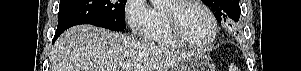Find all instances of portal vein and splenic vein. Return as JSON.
<instances>
[{
  "label": "portal vein and splenic vein",
  "mask_w": 301,
  "mask_h": 71,
  "mask_svg": "<svg viewBox=\"0 0 301 71\" xmlns=\"http://www.w3.org/2000/svg\"><path fill=\"white\" fill-rule=\"evenodd\" d=\"M129 67H130L129 65H125V66H123V68H126V69H127V68H129Z\"/></svg>",
  "instance_id": "18ae733b"
}]
</instances>
